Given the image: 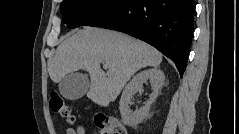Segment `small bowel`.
<instances>
[{"label": "small bowel", "mask_w": 239, "mask_h": 134, "mask_svg": "<svg viewBox=\"0 0 239 134\" xmlns=\"http://www.w3.org/2000/svg\"><path fill=\"white\" fill-rule=\"evenodd\" d=\"M65 134H85V126L83 123H80L76 130L72 128H67Z\"/></svg>", "instance_id": "c3829d8e"}]
</instances>
